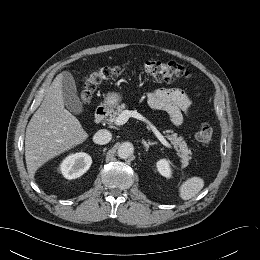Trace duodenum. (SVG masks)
<instances>
[{"instance_id":"duodenum-1","label":"duodenum","mask_w":260,"mask_h":260,"mask_svg":"<svg viewBox=\"0 0 260 260\" xmlns=\"http://www.w3.org/2000/svg\"><path fill=\"white\" fill-rule=\"evenodd\" d=\"M108 113H109L108 106H106V105L99 106L96 109V112L94 114V122L97 124L101 123L102 121H104L107 118Z\"/></svg>"}]
</instances>
